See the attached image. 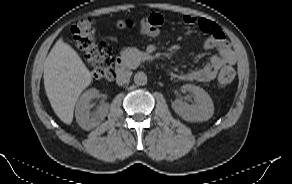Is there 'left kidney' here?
Segmentation results:
<instances>
[{"label": "left kidney", "mask_w": 292, "mask_h": 184, "mask_svg": "<svg viewBox=\"0 0 292 184\" xmlns=\"http://www.w3.org/2000/svg\"><path fill=\"white\" fill-rule=\"evenodd\" d=\"M182 90L188 91L193 95L195 104L189 105L180 99L172 102L173 110L184 120L190 122L207 121L214 113V105L209 94L202 88L186 84Z\"/></svg>", "instance_id": "left-kidney-1"}]
</instances>
